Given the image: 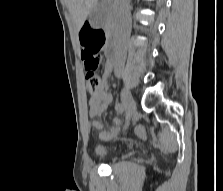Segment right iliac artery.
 Segmentation results:
<instances>
[{
	"label": "right iliac artery",
	"instance_id": "obj_1",
	"mask_svg": "<svg viewBox=\"0 0 223 191\" xmlns=\"http://www.w3.org/2000/svg\"><path fill=\"white\" fill-rule=\"evenodd\" d=\"M116 108L119 112L122 113L125 110V105L123 102H119V103H117Z\"/></svg>",
	"mask_w": 223,
	"mask_h": 191
}]
</instances>
